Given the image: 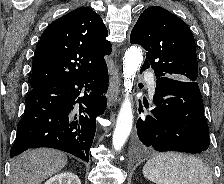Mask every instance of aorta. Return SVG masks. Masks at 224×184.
I'll list each match as a JSON object with an SVG mask.
<instances>
[{
  "label": "aorta",
  "mask_w": 224,
  "mask_h": 184,
  "mask_svg": "<svg viewBox=\"0 0 224 184\" xmlns=\"http://www.w3.org/2000/svg\"><path fill=\"white\" fill-rule=\"evenodd\" d=\"M143 61L142 50L137 46H131L125 52L123 59V77L125 87V99L120 108L116 128L113 133V147L120 150L128 139L132 124L133 113L129 93L133 87V79Z\"/></svg>",
  "instance_id": "762f6f07"
}]
</instances>
